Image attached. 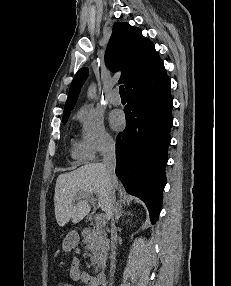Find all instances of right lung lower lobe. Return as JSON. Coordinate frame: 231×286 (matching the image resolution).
<instances>
[{
    "mask_svg": "<svg viewBox=\"0 0 231 286\" xmlns=\"http://www.w3.org/2000/svg\"><path fill=\"white\" fill-rule=\"evenodd\" d=\"M126 128L116 139V175L129 194L145 202L157 221L166 184L165 165L173 99L165 69L126 87Z\"/></svg>",
    "mask_w": 231,
    "mask_h": 286,
    "instance_id": "98d812e1",
    "label": "right lung lower lobe"
}]
</instances>
